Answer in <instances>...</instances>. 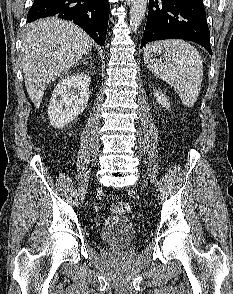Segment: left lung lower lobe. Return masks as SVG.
I'll list each match as a JSON object with an SVG mask.
<instances>
[{"mask_svg":"<svg viewBox=\"0 0 233 294\" xmlns=\"http://www.w3.org/2000/svg\"><path fill=\"white\" fill-rule=\"evenodd\" d=\"M171 38L196 42L212 55L203 0H149L141 48Z\"/></svg>","mask_w":233,"mask_h":294,"instance_id":"obj_1","label":"left lung lower lobe"}]
</instances>
